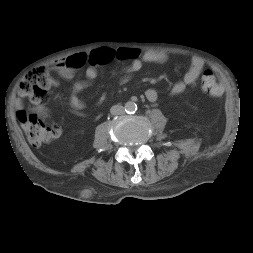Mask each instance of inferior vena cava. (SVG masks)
<instances>
[{"instance_id": "1", "label": "inferior vena cava", "mask_w": 253, "mask_h": 253, "mask_svg": "<svg viewBox=\"0 0 253 253\" xmlns=\"http://www.w3.org/2000/svg\"><path fill=\"white\" fill-rule=\"evenodd\" d=\"M110 111L112 115H123L125 113L124 107L121 105L112 106Z\"/></svg>"}]
</instances>
